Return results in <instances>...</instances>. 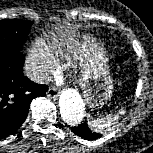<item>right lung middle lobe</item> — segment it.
Listing matches in <instances>:
<instances>
[{
	"label": "right lung middle lobe",
	"instance_id": "right-lung-middle-lobe-1",
	"mask_svg": "<svg viewBox=\"0 0 153 153\" xmlns=\"http://www.w3.org/2000/svg\"><path fill=\"white\" fill-rule=\"evenodd\" d=\"M33 22L20 19L0 20V50L21 52Z\"/></svg>",
	"mask_w": 153,
	"mask_h": 153
}]
</instances>
